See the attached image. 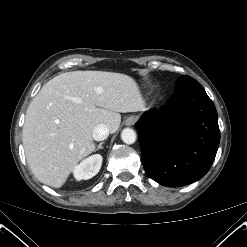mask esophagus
<instances>
[{
	"instance_id": "1",
	"label": "esophagus",
	"mask_w": 247,
	"mask_h": 247,
	"mask_svg": "<svg viewBox=\"0 0 247 247\" xmlns=\"http://www.w3.org/2000/svg\"><path fill=\"white\" fill-rule=\"evenodd\" d=\"M135 121H136V118L134 116H130L126 120V125L131 126L135 123Z\"/></svg>"
}]
</instances>
